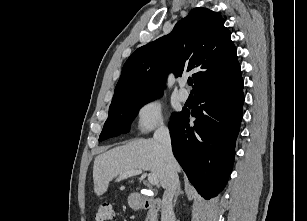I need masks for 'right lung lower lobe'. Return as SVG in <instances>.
<instances>
[{
    "label": "right lung lower lobe",
    "instance_id": "right-lung-lower-lobe-1",
    "mask_svg": "<svg viewBox=\"0 0 307 221\" xmlns=\"http://www.w3.org/2000/svg\"><path fill=\"white\" fill-rule=\"evenodd\" d=\"M243 102L241 79L195 95L193 127L189 126V111L182 110L169 122L173 153L192 185L206 199L223 189L232 171Z\"/></svg>",
    "mask_w": 307,
    "mask_h": 221
}]
</instances>
